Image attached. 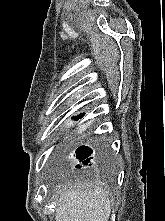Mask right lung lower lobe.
<instances>
[{
  "instance_id": "98d812e1",
  "label": "right lung lower lobe",
  "mask_w": 165,
  "mask_h": 221,
  "mask_svg": "<svg viewBox=\"0 0 165 221\" xmlns=\"http://www.w3.org/2000/svg\"><path fill=\"white\" fill-rule=\"evenodd\" d=\"M93 154L91 148L87 146H80L76 150V157L80 160H83V164L89 167H100V166H107V158L105 156L104 151H100L96 153L95 156L90 157ZM93 159V161H91ZM77 168H81V166H77Z\"/></svg>"
}]
</instances>
